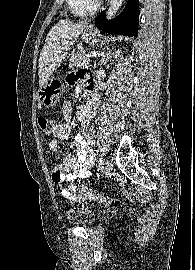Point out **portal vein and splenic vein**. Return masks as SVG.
Wrapping results in <instances>:
<instances>
[{"mask_svg": "<svg viewBox=\"0 0 195 270\" xmlns=\"http://www.w3.org/2000/svg\"><path fill=\"white\" fill-rule=\"evenodd\" d=\"M99 55H101V54L98 53V52H90V53L87 54V57H96V56H99Z\"/></svg>", "mask_w": 195, "mask_h": 270, "instance_id": "18ae733b", "label": "portal vein and splenic vein"}]
</instances>
